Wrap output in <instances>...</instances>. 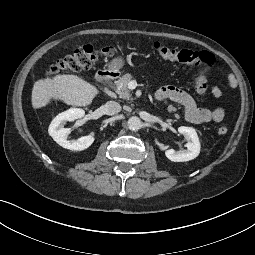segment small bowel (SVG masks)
<instances>
[{"mask_svg":"<svg viewBox=\"0 0 255 255\" xmlns=\"http://www.w3.org/2000/svg\"><path fill=\"white\" fill-rule=\"evenodd\" d=\"M227 80L229 87L235 89L237 86L235 76L230 73ZM211 91L216 98L222 96V91L218 85H212ZM155 99L160 102L170 100L180 105L183 108L187 121L193 124L220 122L225 116V110L222 107L215 109L198 107L194 99L187 92L171 85L159 89L155 94Z\"/></svg>","mask_w":255,"mask_h":255,"instance_id":"c3829d8e","label":"small bowel"}]
</instances>
